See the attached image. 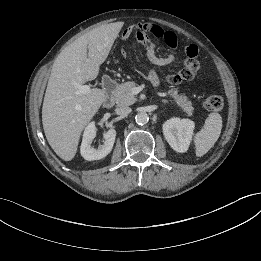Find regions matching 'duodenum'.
<instances>
[{"instance_id": "obj_1", "label": "duodenum", "mask_w": 261, "mask_h": 261, "mask_svg": "<svg viewBox=\"0 0 261 261\" xmlns=\"http://www.w3.org/2000/svg\"><path fill=\"white\" fill-rule=\"evenodd\" d=\"M116 82L112 79L109 75H105L102 81V88L106 94V98L104 101L105 107H112L115 101V89H116Z\"/></svg>"}]
</instances>
